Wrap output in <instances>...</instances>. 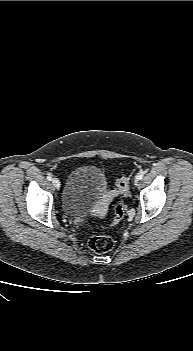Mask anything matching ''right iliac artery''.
<instances>
[{
	"instance_id": "right-iliac-artery-1",
	"label": "right iliac artery",
	"mask_w": 193,
	"mask_h": 351,
	"mask_svg": "<svg viewBox=\"0 0 193 351\" xmlns=\"http://www.w3.org/2000/svg\"><path fill=\"white\" fill-rule=\"evenodd\" d=\"M47 179H48L49 181H51V180H52V176L49 174V175L47 176Z\"/></svg>"
}]
</instances>
